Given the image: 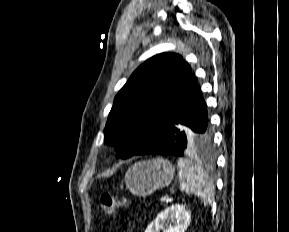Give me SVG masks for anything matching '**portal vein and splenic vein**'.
<instances>
[{
    "label": "portal vein and splenic vein",
    "mask_w": 289,
    "mask_h": 232,
    "mask_svg": "<svg viewBox=\"0 0 289 232\" xmlns=\"http://www.w3.org/2000/svg\"><path fill=\"white\" fill-rule=\"evenodd\" d=\"M181 191H182V189H181ZM159 200H160V202H165L166 197L165 196H161Z\"/></svg>",
    "instance_id": "obj_1"
}]
</instances>
